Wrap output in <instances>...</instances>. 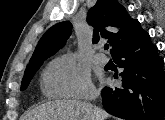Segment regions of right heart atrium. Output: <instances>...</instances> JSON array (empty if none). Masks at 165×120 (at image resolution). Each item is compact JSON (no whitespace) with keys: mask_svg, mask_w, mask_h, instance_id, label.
<instances>
[{"mask_svg":"<svg viewBox=\"0 0 165 120\" xmlns=\"http://www.w3.org/2000/svg\"><path fill=\"white\" fill-rule=\"evenodd\" d=\"M43 82L46 92L53 97L89 99L96 94L89 72L70 56H61L50 62Z\"/></svg>","mask_w":165,"mask_h":120,"instance_id":"d8ad5b80","label":"right heart atrium"}]
</instances>
